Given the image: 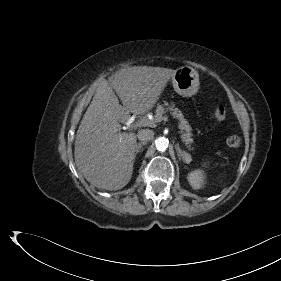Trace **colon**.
Segmentation results:
<instances>
[{
	"label": "colon",
	"instance_id": "obj_1",
	"mask_svg": "<svg viewBox=\"0 0 281 281\" xmlns=\"http://www.w3.org/2000/svg\"><path fill=\"white\" fill-rule=\"evenodd\" d=\"M211 118L216 122H222L226 118V111L223 106H217L212 112H211ZM227 145L230 148L236 149L240 147L241 145V139L237 135H231L226 140Z\"/></svg>",
	"mask_w": 281,
	"mask_h": 281
}]
</instances>
